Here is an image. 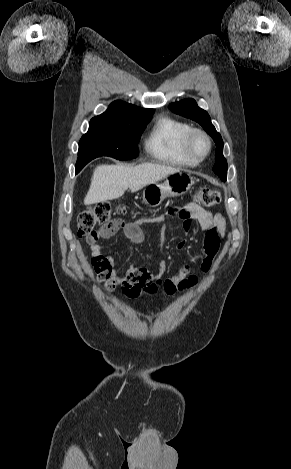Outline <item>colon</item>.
Instances as JSON below:
<instances>
[{"mask_svg":"<svg viewBox=\"0 0 291 469\" xmlns=\"http://www.w3.org/2000/svg\"><path fill=\"white\" fill-rule=\"evenodd\" d=\"M195 201L205 207H213L220 203L221 193L210 188H200L195 194ZM125 208L113 205L108 201L98 203L93 209L82 212L77 220L80 236L86 237L88 242H96L107 233V226L113 214H124ZM96 271L100 272L108 267L107 263L98 258H92Z\"/></svg>","mask_w":291,"mask_h":469,"instance_id":"1","label":"colon"}]
</instances>
